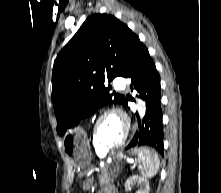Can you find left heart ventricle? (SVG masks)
Listing matches in <instances>:
<instances>
[{
	"instance_id": "left-heart-ventricle-1",
	"label": "left heart ventricle",
	"mask_w": 221,
	"mask_h": 193,
	"mask_svg": "<svg viewBox=\"0 0 221 193\" xmlns=\"http://www.w3.org/2000/svg\"><path fill=\"white\" fill-rule=\"evenodd\" d=\"M122 119L114 114L105 116L98 124L97 133L99 140L108 146L117 144L124 133Z\"/></svg>"
}]
</instances>
